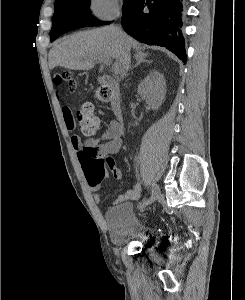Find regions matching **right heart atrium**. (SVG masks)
<instances>
[{
  "label": "right heart atrium",
  "instance_id": "right-heart-atrium-1",
  "mask_svg": "<svg viewBox=\"0 0 245 300\" xmlns=\"http://www.w3.org/2000/svg\"><path fill=\"white\" fill-rule=\"evenodd\" d=\"M89 13L98 20L108 21L120 12L119 0H89Z\"/></svg>",
  "mask_w": 245,
  "mask_h": 300
}]
</instances>
